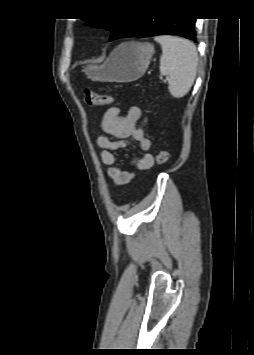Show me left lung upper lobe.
<instances>
[{
  "label": "left lung upper lobe",
  "instance_id": "5c2ea615",
  "mask_svg": "<svg viewBox=\"0 0 254 355\" xmlns=\"http://www.w3.org/2000/svg\"><path fill=\"white\" fill-rule=\"evenodd\" d=\"M135 18H96L86 19L88 25L103 27L113 33L110 41L120 38L131 26Z\"/></svg>",
  "mask_w": 254,
  "mask_h": 355
}]
</instances>
